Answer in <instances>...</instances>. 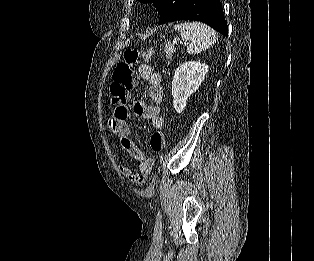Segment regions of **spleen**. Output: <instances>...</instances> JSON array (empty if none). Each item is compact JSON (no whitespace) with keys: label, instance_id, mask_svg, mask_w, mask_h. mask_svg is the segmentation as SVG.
<instances>
[{"label":"spleen","instance_id":"3e777b00","mask_svg":"<svg viewBox=\"0 0 314 261\" xmlns=\"http://www.w3.org/2000/svg\"><path fill=\"white\" fill-rule=\"evenodd\" d=\"M180 32L181 38L187 42V52L198 54L213 46L218 37L209 26L200 23H181L174 26Z\"/></svg>","mask_w":314,"mask_h":261}]
</instances>
